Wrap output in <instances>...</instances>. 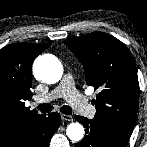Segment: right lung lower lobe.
Listing matches in <instances>:
<instances>
[{"mask_svg": "<svg viewBox=\"0 0 147 147\" xmlns=\"http://www.w3.org/2000/svg\"><path fill=\"white\" fill-rule=\"evenodd\" d=\"M60 121L58 113L42 115L0 141V147H48Z\"/></svg>", "mask_w": 147, "mask_h": 147, "instance_id": "obj_1", "label": "right lung lower lobe"}]
</instances>
